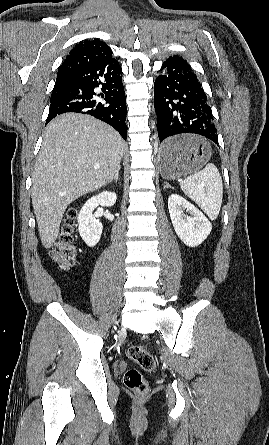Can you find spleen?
<instances>
[{"mask_svg":"<svg viewBox=\"0 0 269 445\" xmlns=\"http://www.w3.org/2000/svg\"><path fill=\"white\" fill-rule=\"evenodd\" d=\"M182 191L191 198L211 219L220 212L223 198V184L217 167L208 163L201 171L180 179Z\"/></svg>","mask_w":269,"mask_h":445,"instance_id":"obj_1","label":"spleen"}]
</instances>
